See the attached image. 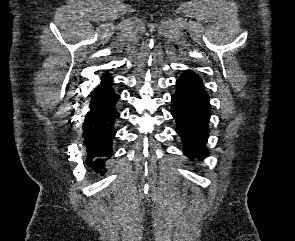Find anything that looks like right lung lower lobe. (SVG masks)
I'll return each instance as SVG.
<instances>
[{
    "label": "right lung lower lobe",
    "instance_id": "98d812e1",
    "mask_svg": "<svg viewBox=\"0 0 295 241\" xmlns=\"http://www.w3.org/2000/svg\"><path fill=\"white\" fill-rule=\"evenodd\" d=\"M112 85L110 80L94 90L90 110L83 123V143L88 153L86 164L96 172L104 168L105 161L112 155L111 144L116 133L114 123L119 117L115 108L119 96L113 91Z\"/></svg>",
    "mask_w": 295,
    "mask_h": 241
}]
</instances>
